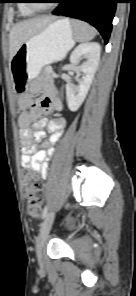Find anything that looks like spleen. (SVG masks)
I'll use <instances>...</instances> for the list:
<instances>
[{
  "mask_svg": "<svg viewBox=\"0 0 136 296\" xmlns=\"http://www.w3.org/2000/svg\"><path fill=\"white\" fill-rule=\"evenodd\" d=\"M71 25L77 41L91 40L96 36V30L83 21L72 20Z\"/></svg>",
  "mask_w": 136,
  "mask_h": 296,
  "instance_id": "obj_1",
  "label": "spleen"
}]
</instances>
